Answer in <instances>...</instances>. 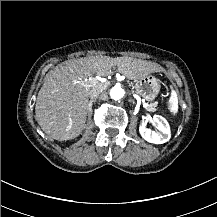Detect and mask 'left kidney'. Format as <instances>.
Listing matches in <instances>:
<instances>
[{
    "instance_id": "left-kidney-1",
    "label": "left kidney",
    "mask_w": 217,
    "mask_h": 217,
    "mask_svg": "<svg viewBox=\"0 0 217 217\" xmlns=\"http://www.w3.org/2000/svg\"><path fill=\"white\" fill-rule=\"evenodd\" d=\"M154 122L157 123L156 128L160 133H156L147 128L146 124L139 125V133L141 137L148 143L163 144L170 139L169 126L167 121L161 116H153Z\"/></svg>"
}]
</instances>
